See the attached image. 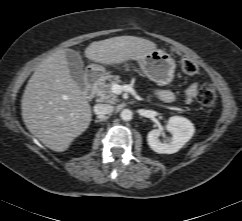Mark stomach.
<instances>
[{"label":"stomach","instance_id":"0dacf381","mask_svg":"<svg viewBox=\"0 0 242 221\" xmlns=\"http://www.w3.org/2000/svg\"><path fill=\"white\" fill-rule=\"evenodd\" d=\"M138 63L145 76L158 85H167L174 79L175 60L165 51L155 49L148 52ZM90 68L97 73L98 78L103 77L101 66L92 64Z\"/></svg>","mask_w":242,"mask_h":221}]
</instances>
